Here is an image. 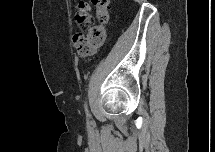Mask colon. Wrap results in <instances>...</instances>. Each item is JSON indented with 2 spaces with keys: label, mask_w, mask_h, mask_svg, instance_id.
Masks as SVG:
<instances>
[{
  "label": "colon",
  "mask_w": 215,
  "mask_h": 152,
  "mask_svg": "<svg viewBox=\"0 0 215 152\" xmlns=\"http://www.w3.org/2000/svg\"><path fill=\"white\" fill-rule=\"evenodd\" d=\"M92 7L95 8L98 23L93 22ZM75 18L79 27L88 30V33L76 34L74 46L80 55H91L102 47L106 40V25L110 18L109 0L81 1Z\"/></svg>",
  "instance_id": "colon-1"
}]
</instances>
